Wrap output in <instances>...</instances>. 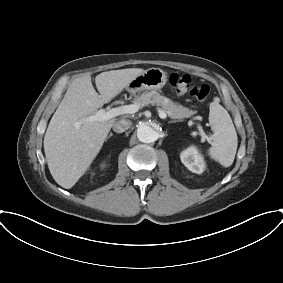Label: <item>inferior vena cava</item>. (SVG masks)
<instances>
[{
	"mask_svg": "<svg viewBox=\"0 0 283 283\" xmlns=\"http://www.w3.org/2000/svg\"><path fill=\"white\" fill-rule=\"evenodd\" d=\"M132 123L127 119H120L113 124V131L116 133H123L131 127Z\"/></svg>",
	"mask_w": 283,
	"mask_h": 283,
	"instance_id": "602c4592",
	"label": "inferior vena cava"
}]
</instances>
